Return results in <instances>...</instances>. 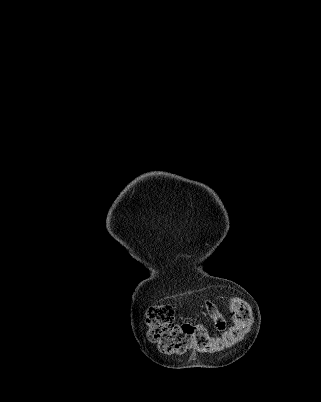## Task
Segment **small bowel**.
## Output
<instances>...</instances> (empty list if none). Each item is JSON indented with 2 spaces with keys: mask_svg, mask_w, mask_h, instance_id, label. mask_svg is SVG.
Segmentation results:
<instances>
[{
  "mask_svg": "<svg viewBox=\"0 0 321 402\" xmlns=\"http://www.w3.org/2000/svg\"><path fill=\"white\" fill-rule=\"evenodd\" d=\"M205 311L208 316L213 320L214 327L218 331H224L227 326V321L223 314L220 312L218 306L213 302H206Z\"/></svg>",
  "mask_w": 321,
  "mask_h": 402,
  "instance_id": "1",
  "label": "small bowel"
}]
</instances>
